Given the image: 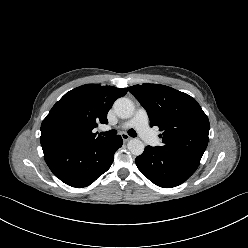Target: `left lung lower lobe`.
<instances>
[{"instance_id":"obj_1","label":"left lung lower lobe","mask_w":248,"mask_h":248,"mask_svg":"<svg viewBox=\"0 0 248 248\" xmlns=\"http://www.w3.org/2000/svg\"><path fill=\"white\" fill-rule=\"evenodd\" d=\"M200 161L167 153L157 147L147 146L136 158V165L155 185L171 188L185 182L198 168Z\"/></svg>"}]
</instances>
